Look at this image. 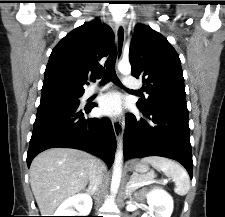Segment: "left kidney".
Listing matches in <instances>:
<instances>
[{"instance_id":"5707ae66","label":"left kidney","mask_w":225,"mask_h":217,"mask_svg":"<svg viewBox=\"0 0 225 217\" xmlns=\"http://www.w3.org/2000/svg\"><path fill=\"white\" fill-rule=\"evenodd\" d=\"M149 211L141 217H170L173 212V199L162 189L147 194Z\"/></svg>"}]
</instances>
